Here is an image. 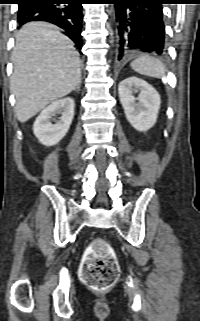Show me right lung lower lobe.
I'll list each match as a JSON object with an SVG mask.
<instances>
[{"label":"right lung lower lobe","mask_w":200,"mask_h":321,"mask_svg":"<svg viewBox=\"0 0 200 321\" xmlns=\"http://www.w3.org/2000/svg\"><path fill=\"white\" fill-rule=\"evenodd\" d=\"M84 0H21L18 5V24L46 21L64 29L66 35L82 48V3ZM81 53V51H80Z\"/></svg>","instance_id":"1"}]
</instances>
